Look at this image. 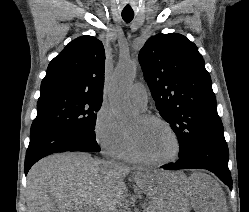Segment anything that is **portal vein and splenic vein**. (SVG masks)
I'll return each instance as SVG.
<instances>
[{"label":"portal vein and splenic vein","mask_w":249,"mask_h":212,"mask_svg":"<svg viewBox=\"0 0 249 212\" xmlns=\"http://www.w3.org/2000/svg\"><path fill=\"white\" fill-rule=\"evenodd\" d=\"M88 212H94V208H93V206H89V208H88Z\"/></svg>","instance_id":"18ae733b"}]
</instances>
